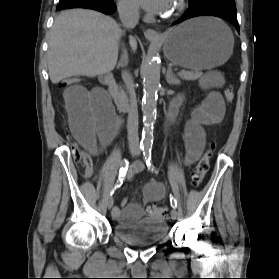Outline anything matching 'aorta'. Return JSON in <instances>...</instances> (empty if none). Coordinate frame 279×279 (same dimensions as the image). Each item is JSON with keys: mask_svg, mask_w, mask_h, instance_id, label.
Returning <instances> with one entry per match:
<instances>
[{"mask_svg": "<svg viewBox=\"0 0 279 279\" xmlns=\"http://www.w3.org/2000/svg\"><path fill=\"white\" fill-rule=\"evenodd\" d=\"M160 70L161 65L157 61L155 53L150 52L143 69L144 95L142 99V112L144 128L141 143L145 147L152 143L151 129L156 119L157 92L160 87Z\"/></svg>", "mask_w": 279, "mask_h": 279, "instance_id": "aorta-1", "label": "aorta"}]
</instances>
